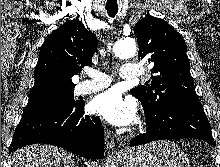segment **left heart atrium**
Segmentation results:
<instances>
[{
  "instance_id": "39dd6f15",
  "label": "left heart atrium",
  "mask_w": 220,
  "mask_h": 167,
  "mask_svg": "<svg viewBox=\"0 0 220 167\" xmlns=\"http://www.w3.org/2000/svg\"><path fill=\"white\" fill-rule=\"evenodd\" d=\"M91 110L116 126L129 124L136 114L135 103L115 90L96 96L91 102Z\"/></svg>"
}]
</instances>
